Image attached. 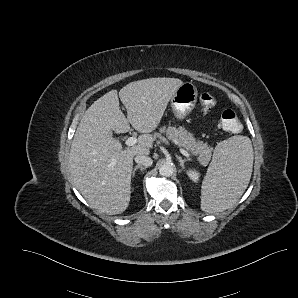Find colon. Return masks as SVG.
I'll return each instance as SVG.
<instances>
[{"label": "colon", "mask_w": 298, "mask_h": 298, "mask_svg": "<svg viewBox=\"0 0 298 298\" xmlns=\"http://www.w3.org/2000/svg\"><path fill=\"white\" fill-rule=\"evenodd\" d=\"M200 106L203 111L208 112L215 106V99L209 93H202L199 96ZM218 125L225 131L237 133L241 130V123L233 110H224L218 120Z\"/></svg>", "instance_id": "5ec220e1"}]
</instances>
